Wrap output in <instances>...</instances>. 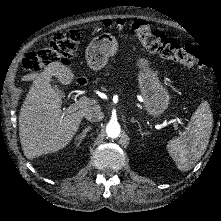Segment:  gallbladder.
I'll list each match as a JSON object with an SVG mask.
<instances>
[{"mask_svg": "<svg viewBox=\"0 0 221 221\" xmlns=\"http://www.w3.org/2000/svg\"><path fill=\"white\" fill-rule=\"evenodd\" d=\"M52 86H53V88H55V89L58 91V93L62 96V92L58 90V88H57V86H56V84H55L54 82H53Z\"/></svg>", "mask_w": 221, "mask_h": 221, "instance_id": "gallbladder-1", "label": "gallbladder"}]
</instances>
